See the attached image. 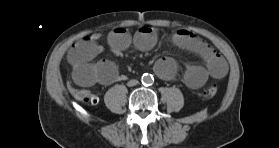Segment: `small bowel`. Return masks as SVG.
<instances>
[{"label":"small bowel","mask_w":279,"mask_h":148,"mask_svg":"<svg viewBox=\"0 0 279 148\" xmlns=\"http://www.w3.org/2000/svg\"><path fill=\"white\" fill-rule=\"evenodd\" d=\"M101 34L94 33L76 42L68 51V62L73 68V79L82 87L94 84L108 86L120 79L115 64L110 60L92 62L102 51L99 44ZM156 31L149 27H140L134 35L125 28H116L108 35V45L112 53L119 55L131 44L138 49L147 51L157 43ZM173 41L181 48L198 54L205 66L190 64L184 72V82L190 88H199L209 77L222 79L226 76L228 66L224 58L203 39L187 30H178L173 34ZM155 72L164 80L174 77L177 65L170 57H162L155 63Z\"/></svg>","instance_id":"obj_1"}]
</instances>
